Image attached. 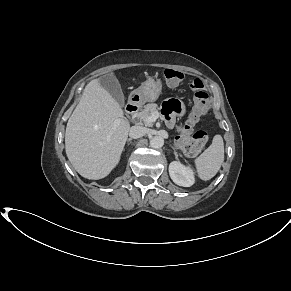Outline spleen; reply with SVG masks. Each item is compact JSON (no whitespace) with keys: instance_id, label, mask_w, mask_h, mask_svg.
I'll list each match as a JSON object with an SVG mask.
<instances>
[{"instance_id":"1","label":"spleen","mask_w":291,"mask_h":291,"mask_svg":"<svg viewBox=\"0 0 291 291\" xmlns=\"http://www.w3.org/2000/svg\"><path fill=\"white\" fill-rule=\"evenodd\" d=\"M223 161V138L215 135L211 145L194 161L199 178L204 181L213 178L221 168Z\"/></svg>"}]
</instances>
